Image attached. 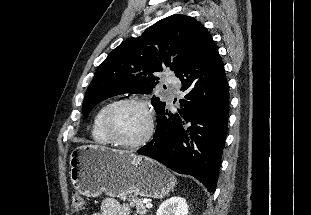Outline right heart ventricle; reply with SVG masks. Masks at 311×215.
<instances>
[{
    "mask_svg": "<svg viewBox=\"0 0 311 215\" xmlns=\"http://www.w3.org/2000/svg\"><path fill=\"white\" fill-rule=\"evenodd\" d=\"M114 102H107L103 105H101L98 110L96 111L93 122H92V128H91V135L93 140L102 145H108L111 144L112 141L108 138V136L105 134L103 127H102V121L103 116L108 109V107Z\"/></svg>",
    "mask_w": 311,
    "mask_h": 215,
    "instance_id": "e07e8e85",
    "label": "right heart ventricle"
}]
</instances>
